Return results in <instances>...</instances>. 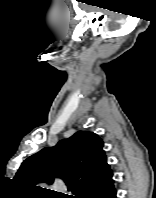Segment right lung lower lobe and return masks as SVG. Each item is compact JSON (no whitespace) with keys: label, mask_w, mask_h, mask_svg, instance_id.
Wrapping results in <instances>:
<instances>
[{"label":"right lung lower lobe","mask_w":156,"mask_h":198,"mask_svg":"<svg viewBox=\"0 0 156 198\" xmlns=\"http://www.w3.org/2000/svg\"><path fill=\"white\" fill-rule=\"evenodd\" d=\"M100 198H116V191L114 189V186L109 189L106 193H104Z\"/></svg>","instance_id":"1"}]
</instances>
